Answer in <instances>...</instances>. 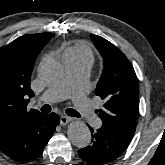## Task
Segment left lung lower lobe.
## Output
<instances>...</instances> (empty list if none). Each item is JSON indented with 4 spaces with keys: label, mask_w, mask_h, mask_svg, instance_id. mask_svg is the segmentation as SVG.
<instances>
[{
    "label": "left lung lower lobe",
    "mask_w": 165,
    "mask_h": 165,
    "mask_svg": "<svg viewBox=\"0 0 165 165\" xmlns=\"http://www.w3.org/2000/svg\"><path fill=\"white\" fill-rule=\"evenodd\" d=\"M92 144L78 151L82 160L89 164L102 165L114 161L124 152L132 137L115 128L102 124L94 131L90 126Z\"/></svg>",
    "instance_id": "1"
}]
</instances>
